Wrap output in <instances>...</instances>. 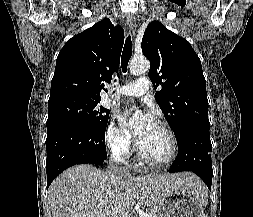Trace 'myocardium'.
<instances>
[{"instance_id": "obj_1", "label": "myocardium", "mask_w": 253, "mask_h": 217, "mask_svg": "<svg viewBox=\"0 0 253 217\" xmlns=\"http://www.w3.org/2000/svg\"><path fill=\"white\" fill-rule=\"evenodd\" d=\"M157 126L159 128H161L167 134V136L169 138L170 153H169L168 157L163 161H153V160L148 159L141 151L139 141L136 142V151H137L138 159L143 164L150 166V167L162 168V167L170 165L175 160V158L177 156V151H178V144H177L176 135L170 126H168L165 123H158Z\"/></svg>"}]
</instances>
